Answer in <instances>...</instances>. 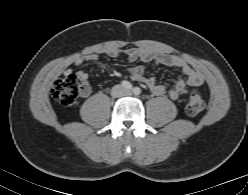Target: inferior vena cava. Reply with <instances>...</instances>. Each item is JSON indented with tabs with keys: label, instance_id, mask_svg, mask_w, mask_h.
Returning <instances> with one entry per match:
<instances>
[{
	"label": "inferior vena cava",
	"instance_id": "1",
	"mask_svg": "<svg viewBox=\"0 0 248 195\" xmlns=\"http://www.w3.org/2000/svg\"><path fill=\"white\" fill-rule=\"evenodd\" d=\"M127 94V91L120 85H116L112 90L113 97H122Z\"/></svg>",
	"mask_w": 248,
	"mask_h": 195
}]
</instances>
